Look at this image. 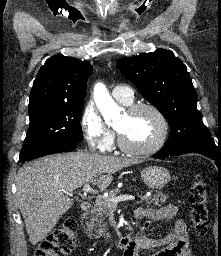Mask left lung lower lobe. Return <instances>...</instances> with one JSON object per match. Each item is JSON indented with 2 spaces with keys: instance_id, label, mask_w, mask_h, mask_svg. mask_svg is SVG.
<instances>
[{
  "instance_id": "left-lung-lower-lobe-1",
  "label": "left lung lower lobe",
  "mask_w": 221,
  "mask_h": 256,
  "mask_svg": "<svg viewBox=\"0 0 221 256\" xmlns=\"http://www.w3.org/2000/svg\"><path fill=\"white\" fill-rule=\"evenodd\" d=\"M182 153H199L213 160L221 169V145H216L214 140L210 138L191 139L185 143H178L164 146L159 152L153 155L154 158L163 159L173 155Z\"/></svg>"
}]
</instances>
